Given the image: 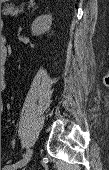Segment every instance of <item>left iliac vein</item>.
Listing matches in <instances>:
<instances>
[{
	"label": "left iliac vein",
	"mask_w": 109,
	"mask_h": 170,
	"mask_svg": "<svg viewBox=\"0 0 109 170\" xmlns=\"http://www.w3.org/2000/svg\"><path fill=\"white\" fill-rule=\"evenodd\" d=\"M26 164H23V165L10 164V165L5 166L3 168V170H18V168H20V167H22V166H24Z\"/></svg>",
	"instance_id": "obj_1"
}]
</instances>
